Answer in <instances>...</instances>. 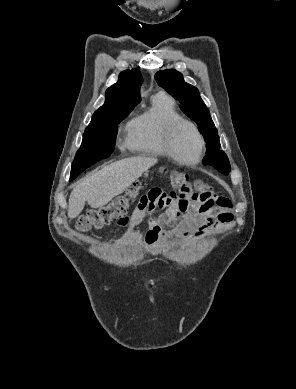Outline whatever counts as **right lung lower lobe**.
<instances>
[{
    "label": "right lung lower lobe",
    "instance_id": "right-lung-lower-lobe-1",
    "mask_svg": "<svg viewBox=\"0 0 296 389\" xmlns=\"http://www.w3.org/2000/svg\"><path fill=\"white\" fill-rule=\"evenodd\" d=\"M90 166L85 165L71 170L70 180L75 179L81 172Z\"/></svg>",
    "mask_w": 296,
    "mask_h": 389
}]
</instances>
